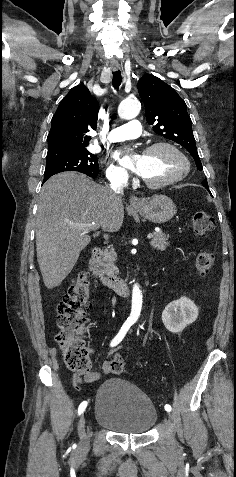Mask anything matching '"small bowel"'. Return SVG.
Segmentation results:
<instances>
[{"label": "small bowel", "mask_w": 236, "mask_h": 477, "mask_svg": "<svg viewBox=\"0 0 236 477\" xmlns=\"http://www.w3.org/2000/svg\"><path fill=\"white\" fill-rule=\"evenodd\" d=\"M117 347L113 346L109 350V355L112 356L116 353ZM90 354H93V350L89 348ZM110 373V368H109V361H105L100 370L98 371H88L87 373L83 375H76L74 377L75 382H80V381H85L87 383H95L99 381L103 376L107 375Z\"/></svg>", "instance_id": "1"}]
</instances>
